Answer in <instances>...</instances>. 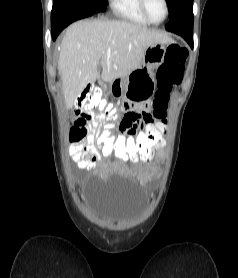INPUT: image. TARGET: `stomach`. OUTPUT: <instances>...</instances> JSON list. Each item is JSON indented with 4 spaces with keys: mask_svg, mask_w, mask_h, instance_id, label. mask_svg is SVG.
Masks as SVG:
<instances>
[{
    "mask_svg": "<svg viewBox=\"0 0 238 278\" xmlns=\"http://www.w3.org/2000/svg\"><path fill=\"white\" fill-rule=\"evenodd\" d=\"M165 52L166 46L163 43L150 45L145 51L140 68L130 74H119L116 81H113L110 93L114 98L149 101L156 87L153 71L163 63Z\"/></svg>",
    "mask_w": 238,
    "mask_h": 278,
    "instance_id": "1",
    "label": "stomach"
}]
</instances>
